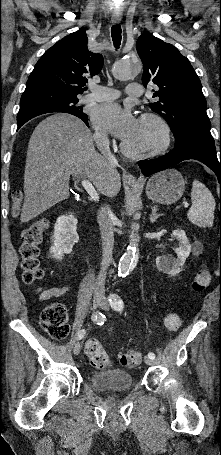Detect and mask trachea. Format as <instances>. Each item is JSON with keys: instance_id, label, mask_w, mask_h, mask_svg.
Returning <instances> with one entry per match:
<instances>
[{"instance_id": "obj_1", "label": "trachea", "mask_w": 221, "mask_h": 455, "mask_svg": "<svg viewBox=\"0 0 221 455\" xmlns=\"http://www.w3.org/2000/svg\"><path fill=\"white\" fill-rule=\"evenodd\" d=\"M121 32L122 31L120 25H113L111 29V36L116 49H118L121 44Z\"/></svg>"}]
</instances>
